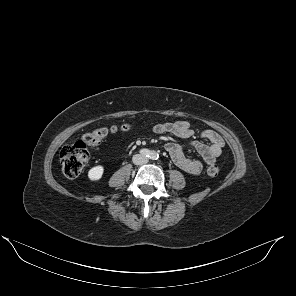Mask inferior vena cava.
<instances>
[{
  "label": "inferior vena cava",
  "instance_id": "obj_1",
  "mask_svg": "<svg viewBox=\"0 0 296 296\" xmlns=\"http://www.w3.org/2000/svg\"><path fill=\"white\" fill-rule=\"evenodd\" d=\"M148 162V158L141 154H136L133 156V163L136 165H143Z\"/></svg>",
  "mask_w": 296,
  "mask_h": 296
}]
</instances>
